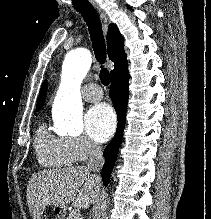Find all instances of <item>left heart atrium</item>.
Instances as JSON below:
<instances>
[{
  "label": "left heart atrium",
  "instance_id": "obj_1",
  "mask_svg": "<svg viewBox=\"0 0 211 219\" xmlns=\"http://www.w3.org/2000/svg\"><path fill=\"white\" fill-rule=\"evenodd\" d=\"M88 135L97 142L108 140L116 128V116L107 104H97L89 109L85 116Z\"/></svg>",
  "mask_w": 211,
  "mask_h": 219
}]
</instances>
